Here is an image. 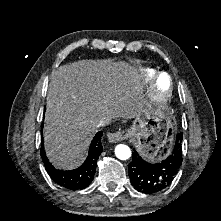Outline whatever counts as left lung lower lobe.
I'll list each match as a JSON object with an SVG mask.
<instances>
[{
  "label": "left lung lower lobe",
  "mask_w": 221,
  "mask_h": 221,
  "mask_svg": "<svg viewBox=\"0 0 221 221\" xmlns=\"http://www.w3.org/2000/svg\"><path fill=\"white\" fill-rule=\"evenodd\" d=\"M182 133L176 137L171 154L158 163H148L134 151L129 163V177L136 190L145 194L157 193L170 185L182 165Z\"/></svg>",
  "instance_id": "left-lung-lower-lobe-1"
}]
</instances>
